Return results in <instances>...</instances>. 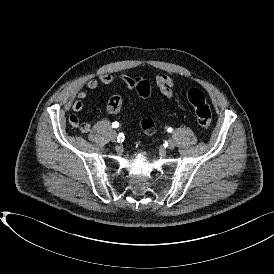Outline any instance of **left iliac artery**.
<instances>
[{
	"label": "left iliac artery",
	"mask_w": 274,
	"mask_h": 274,
	"mask_svg": "<svg viewBox=\"0 0 274 274\" xmlns=\"http://www.w3.org/2000/svg\"><path fill=\"white\" fill-rule=\"evenodd\" d=\"M167 131L171 133V132L173 131V129H172L171 127H169V128L167 129Z\"/></svg>",
	"instance_id": "left-iliac-artery-1"
}]
</instances>
